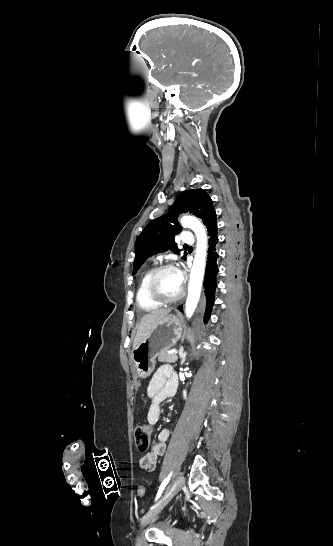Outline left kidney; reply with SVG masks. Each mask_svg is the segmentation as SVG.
Here are the masks:
<instances>
[{"label": "left kidney", "mask_w": 333, "mask_h": 546, "mask_svg": "<svg viewBox=\"0 0 333 546\" xmlns=\"http://www.w3.org/2000/svg\"><path fill=\"white\" fill-rule=\"evenodd\" d=\"M184 397L186 398V392L184 391Z\"/></svg>", "instance_id": "1"}]
</instances>
